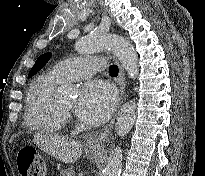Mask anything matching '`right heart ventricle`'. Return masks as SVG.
I'll use <instances>...</instances> for the list:
<instances>
[{"mask_svg":"<svg viewBox=\"0 0 205 176\" xmlns=\"http://www.w3.org/2000/svg\"><path fill=\"white\" fill-rule=\"evenodd\" d=\"M62 82L52 71L39 75L32 82L25 99V123L33 132L49 135L62 132L65 116L53 95Z\"/></svg>","mask_w":205,"mask_h":176,"instance_id":"right-heart-ventricle-1","label":"right heart ventricle"}]
</instances>
